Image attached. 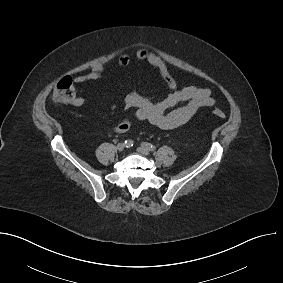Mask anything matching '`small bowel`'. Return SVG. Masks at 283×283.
Wrapping results in <instances>:
<instances>
[{
	"mask_svg": "<svg viewBox=\"0 0 283 283\" xmlns=\"http://www.w3.org/2000/svg\"><path fill=\"white\" fill-rule=\"evenodd\" d=\"M134 58L155 68L170 90L167 96L159 102H152L149 97L136 91L127 92L123 99L124 106L127 110L132 111L134 119L148 121L161 129H173L187 123L202 107L215 104V99L208 88L193 85L178 88L165 61L156 53L146 48H139L135 51ZM118 63L123 68H129L132 59L128 54L123 53L119 55ZM103 79L104 67L96 65L89 73L76 76L74 81L80 84ZM83 103L82 97L73 100L76 106H81ZM180 103L183 104L176 107ZM131 124L132 118H125L114 127V131L118 134L126 133Z\"/></svg>",
	"mask_w": 283,
	"mask_h": 283,
	"instance_id": "obj_1",
	"label": "small bowel"
}]
</instances>
